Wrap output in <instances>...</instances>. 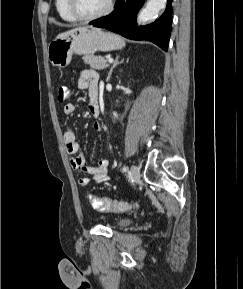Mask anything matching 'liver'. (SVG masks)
I'll return each mask as SVG.
<instances>
[{"instance_id":"liver-1","label":"liver","mask_w":243,"mask_h":289,"mask_svg":"<svg viewBox=\"0 0 243 289\" xmlns=\"http://www.w3.org/2000/svg\"><path fill=\"white\" fill-rule=\"evenodd\" d=\"M72 30L70 31H67V32H64V33H60L58 34V36L56 38H61V37H64L65 35H67L68 33H70Z\"/></svg>"}]
</instances>
